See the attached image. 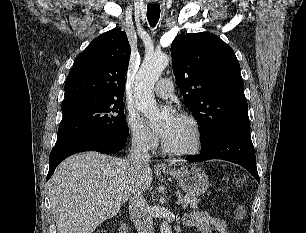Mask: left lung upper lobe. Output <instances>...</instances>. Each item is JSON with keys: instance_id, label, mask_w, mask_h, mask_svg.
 Returning <instances> with one entry per match:
<instances>
[{"instance_id": "obj_1", "label": "left lung upper lobe", "mask_w": 306, "mask_h": 233, "mask_svg": "<svg viewBox=\"0 0 306 233\" xmlns=\"http://www.w3.org/2000/svg\"><path fill=\"white\" fill-rule=\"evenodd\" d=\"M171 55L177 85L200 125L201 143L222 132L249 130L244 82L230 46L209 32L179 35Z\"/></svg>"}]
</instances>
